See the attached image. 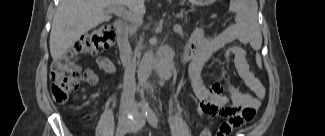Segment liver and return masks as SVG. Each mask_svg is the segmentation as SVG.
I'll use <instances>...</instances> for the list:
<instances>
[{"mask_svg": "<svg viewBox=\"0 0 325 136\" xmlns=\"http://www.w3.org/2000/svg\"><path fill=\"white\" fill-rule=\"evenodd\" d=\"M124 5L133 12H144V0H60L50 34L52 58H61L83 34L110 20L109 9Z\"/></svg>", "mask_w": 325, "mask_h": 136, "instance_id": "1", "label": "liver"}]
</instances>
